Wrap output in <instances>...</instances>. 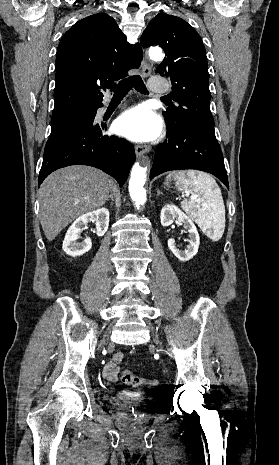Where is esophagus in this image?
Instances as JSON below:
<instances>
[{"instance_id": "obj_1", "label": "esophagus", "mask_w": 279, "mask_h": 465, "mask_svg": "<svg viewBox=\"0 0 279 465\" xmlns=\"http://www.w3.org/2000/svg\"><path fill=\"white\" fill-rule=\"evenodd\" d=\"M141 73L143 77H148L151 73V67L147 63L145 59H143L141 63ZM151 150L150 146L147 145H136L135 146V153L137 157H141L144 154L148 153Z\"/></svg>"}]
</instances>
